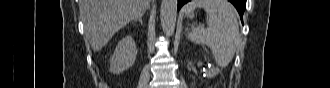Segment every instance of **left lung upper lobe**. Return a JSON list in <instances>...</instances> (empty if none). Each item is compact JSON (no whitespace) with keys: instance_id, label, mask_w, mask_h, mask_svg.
<instances>
[{"instance_id":"5c2ea615","label":"left lung upper lobe","mask_w":330,"mask_h":88,"mask_svg":"<svg viewBox=\"0 0 330 88\" xmlns=\"http://www.w3.org/2000/svg\"><path fill=\"white\" fill-rule=\"evenodd\" d=\"M246 8V3H243V10H245Z\"/></svg>"}]
</instances>
